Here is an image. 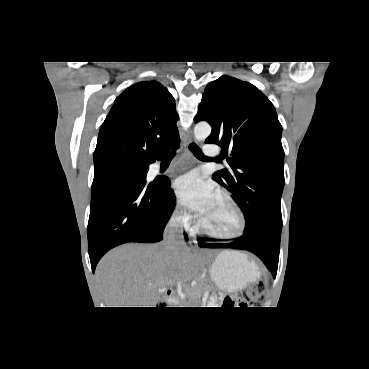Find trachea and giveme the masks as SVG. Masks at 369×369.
I'll return each instance as SVG.
<instances>
[{"mask_svg": "<svg viewBox=\"0 0 369 369\" xmlns=\"http://www.w3.org/2000/svg\"><path fill=\"white\" fill-rule=\"evenodd\" d=\"M189 149L193 152V154L199 158V159H203L206 158L204 156V154L202 153L201 149L196 145V144H190ZM175 156V152H169L167 153L164 158L165 159H172Z\"/></svg>", "mask_w": 369, "mask_h": 369, "instance_id": "obj_1", "label": "trachea"}]
</instances>
